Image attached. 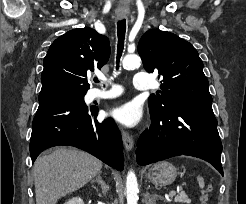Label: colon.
I'll return each instance as SVG.
<instances>
[{"mask_svg":"<svg viewBox=\"0 0 246 204\" xmlns=\"http://www.w3.org/2000/svg\"><path fill=\"white\" fill-rule=\"evenodd\" d=\"M201 200H202L203 204H207V202H208L207 195L202 196Z\"/></svg>","mask_w":246,"mask_h":204,"instance_id":"obj_1","label":"colon"}]
</instances>
